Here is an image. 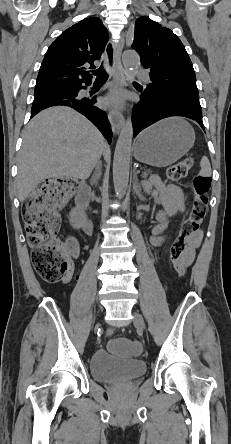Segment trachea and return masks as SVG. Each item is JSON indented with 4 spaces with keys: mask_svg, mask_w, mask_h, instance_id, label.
I'll list each match as a JSON object with an SVG mask.
<instances>
[{
    "mask_svg": "<svg viewBox=\"0 0 231 444\" xmlns=\"http://www.w3.org/2000/svg\"><path fill=\"white\" fill-rule=\"evenodd\" d=\"M92 73L96 76L97 81H105L108 79V74L102 66L97 70H93Z\"/></svg>",
    "mask_w": 231,
    "mask_h": 444,
    "instance_id": "3493384b",
    "label": "trachea"
}]
</instances>
